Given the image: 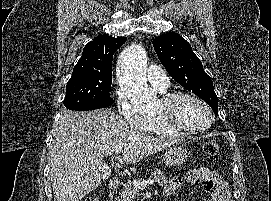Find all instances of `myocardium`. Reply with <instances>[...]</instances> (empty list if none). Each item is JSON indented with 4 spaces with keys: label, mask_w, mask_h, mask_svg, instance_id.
I'll return each instance as SVG.
<instances>
[{
    "label": "myocardium",
    "mask_w": 271,
    "mask_h": 201,
    "mask_svg": "<svg viewBox=\"0 0 271 201\" xmlns=\"http://www.w3.org/2000/svg\"><path fill=\"white\" fill-rule=\"evenodd\" d=\"M184 99H189L197 102L200 104L208 113L209 115V123L198 129H190L182 126L174 117L173 110L174 107L178 102ZM160 101L165 107V110L162 112L156 113L155 117L158 119V121L169 131L172 133L178 134V135H195L202 132H205L208 130L214 123V114L210 108V106L202 100L200 97L187 93L182 91H174V92H168L162 95Z\"/></svg>",
    "instance_id": "obj_1"
}]
</instances>
